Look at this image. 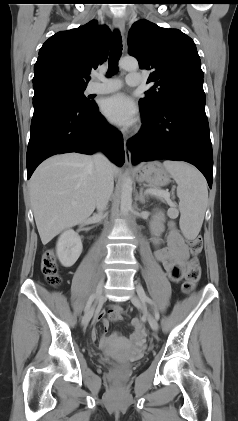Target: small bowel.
I'll list each match as a JSON object with an SVG mask.
<instances>
[{
	"label": "small bowel",
	"mask_w": 238,
	"mask_h": 421,
	"mask_svg": "<svg viewBox=\"0 0 238 421\" xmlns=\"http://www.w3.org/2000/svg\"><path fill=\"white\" fill-rule=\"evenodd\" d=\"M168 229L166 245H162L161 235ZM152 242L155 246V257L163 265L169 277L174 281H179L185 269V264L189 256V249L184 238L178 231L175 222L170 220L166 222L165 215L158 212L153 217L151 223ZM122 319V308L113 305L108 312H99L96 316V322L101 323L104 333L108 331L110 321H120ZM131 325L134 329L130 340L137 345L143 344V328L138 320H133ZM96 329H93L92 336L95 337ZM121 340L118 334L112 336L104 335L101 339V346L107 347L115 341Z\"/></svg>",
	"instance_id": "small-bowel-1"
}]
</instances>
